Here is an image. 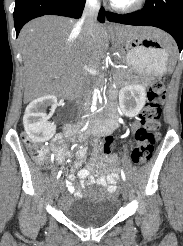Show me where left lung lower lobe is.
Masks as SVG:
<instances>
[{"mask_svg":"<svg viewBox=\"0 0 183 246\" xmlns=\"http://www.w3.org/2000/svg\"><path fill=\"white\" fill-rule=\"evenodd\" d=\"M110 22L135 26H154L173 36L183 49V0H146L144 7L131 14L107 13Z\"/></svg>","mask_w":183,"mask_h":246,"instance_id":"left-lung-lower-lobe-1","label":"left lung lower lobe"}]
</instances>
